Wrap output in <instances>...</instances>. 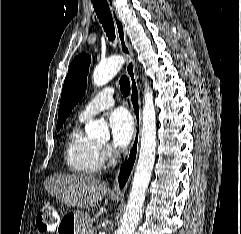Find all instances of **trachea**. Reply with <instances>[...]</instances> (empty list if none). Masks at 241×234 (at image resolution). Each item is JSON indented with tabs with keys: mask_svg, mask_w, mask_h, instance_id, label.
Instances as JSON below:
<instances>
[{
	"mask_svg": "<svg viewBox=\"0 0 241 234\" xmlns=\"http://www.w3.org/2000/svg\"><path fill=\"white\" fill-rule=\"evenodd\" d=\"M97 17L102 24L106 36L110 41L115 39L114 21L111 15L109 5L106 0H91ZM121 92L127 96L130 92V81L127 76L123 75L119 81Z\"/></svg>",
	"mask_w": 241,
	"mask_h": 234,
	"instance_id": "obj_1",
	"label": "trachea"
}]
</instances>
